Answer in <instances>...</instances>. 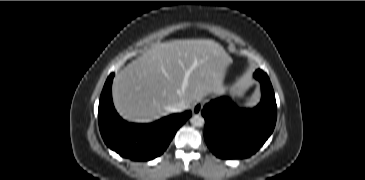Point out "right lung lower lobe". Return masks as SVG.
<instances>
[{"instance_id": "98d812e1", "label": "right lung lower lobe", "mask_w": 365, "mask_h": 180, "mask_svg": "<svg viewBox=\"0 0 365 180\" xmlns=\"http://www.w3.org/2000/svg\"><path fill=\"white\" fill-rule=\"evenodd\" d=\"M112 73L103 87L98 121L106 145L123 158L147 161L160 156L176 131L191 116V111L173 114L150 124L128 123L116 112L111 95Z\"/></svg>"}]
</instances>
